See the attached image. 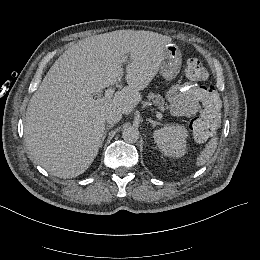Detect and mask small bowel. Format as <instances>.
I'll list each match as a JSON object with an SVG mask.
<instances>
[{"label":"small bowel","instance_id":"obj_1","mask_svg":"<svg viewBox=\"0 0 260 260\" xmlns=\"http://www.w3.org/2000/svg\"><path fill=\"white\" fill-rule=\"evenodd\" d=\"M170 111L173 116L184 117L196 114L201 106L207 108L210 94L205 86L196 84L174 85L167 91Z\"/></svg>","mask_w":260,"mask_h":260}]
</instances>
